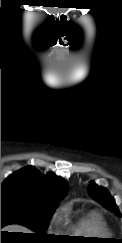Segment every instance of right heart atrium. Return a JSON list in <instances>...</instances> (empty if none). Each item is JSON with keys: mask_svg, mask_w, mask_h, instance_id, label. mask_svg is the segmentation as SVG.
<instances>
[{"mask_svg": "<svg viewBox=\"0 0 122 243\" xmlns=\"http://www.w3.org/2000/svg\"><path fill=\"white\" fill-rule=\"evenodd\" d=\"M61 222H62V218H61L60 213H56L53 216L52 221H51L52 226L58 227L61 224Z\"/></svg>", "mask_w": 122, "mask_h": 243, "instance_id": "right-heart-atrium-1", "label": "right heart atrium"}]
</instances>
